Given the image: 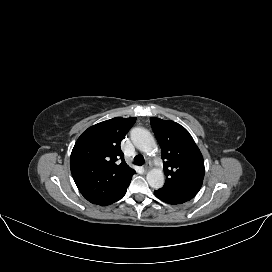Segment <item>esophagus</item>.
<instances>
[{"mask_svg": "<svg viewBox=\"0 0 272 272\" xmlns=\"http://www.w3.org/2000/svg\"><path fill=\"white\" fill-rule=\"evenodd\" d=\"M151 168V164L150 163H146L144 165V171L147 172L149 169Z\"/></svg>", "mask_w": 272, "mask_h": 272, "instance_id": "obj_1", "label": "esophagus"}]
</instances>
